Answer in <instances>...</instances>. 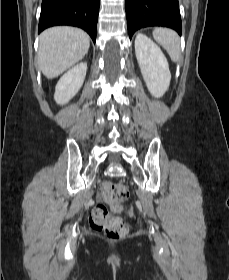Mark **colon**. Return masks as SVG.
<instances>
[{"mask_svg": "<svg viewBox=\"0 0 229 280\" xmlns=\"http://www.w3.org/2000/svg\"><path fill=\"white\" fill-rule=\"evenodd\" d=\"M102 197L119 212L123 211V203L129 196L128 188L117 182H105L101 190ZM90 223L93 229L107 232L110 236H120L128 228L119 215H112L104 205L93 207L90 213Z\"/></svg>", "mask_w": 229, "mask_h": 280, "instance_id": "colon-1", "label": "colon"}]
</instances>
